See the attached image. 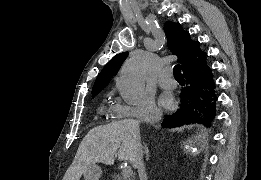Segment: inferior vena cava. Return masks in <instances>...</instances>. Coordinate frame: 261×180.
<instances>
[{
  "label": "inferior vena cava",
  "instance_id": "inferior-vena-cava-1",
  "mask_svg": "<svg viewBox=\"0 0 261 180\" xmlns=\"http://www.w3.org/2000/svg\"><path fill=\"white\" fill-rule=\"evenodd\" d=\"M131 164L133 168H137L140 178H143V176H145V168L143 164L142 148H140V150H137L136 158L135 160H131Z\"/></svg>",
  "mask_w": 261,
  "mask_h": 180
}]
</instances>
